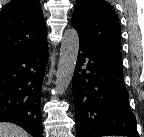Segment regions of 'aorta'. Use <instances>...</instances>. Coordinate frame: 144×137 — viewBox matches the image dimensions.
Listing matches in <instances>:
<instances>
[{
  "instance_id": "762f6f07",
  "label": "aorta",
  "mask_w": 144,
  "mask_h": 137,
  "mask_svg": "<svg viewBox=\"0 0 144 137\" xmlns=\"http://www.w3.org/2000/svg\"><path fill=\"white\" fill-rule=\"evenodd\" d=\"M78 51L79 36L77 31L73 28L66 30L61 42L55 81L56 91L60 95H62L70 85L77 62Z\"/></svg>"
}]
</instances>
